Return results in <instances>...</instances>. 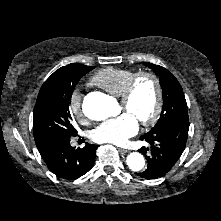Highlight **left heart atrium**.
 Masks as SVG:
<instances>
[{
	"label": "left heart atrium",
	"mask_w": 221,
	"mask_h": 221,
	"mask_svg": "<svg viewBox=\"0 0 221 221\" xmlns=\"http://www.w3.org/2000/svg\"><path fill=\"white\" fill-rule=\"evenodd\" d=\"M138 120L128 112L106 120L92 131V138L99 143L124 145L138 132Z\"/></svg>",
	"instance_id": "obj_1"
}]
</instances>
